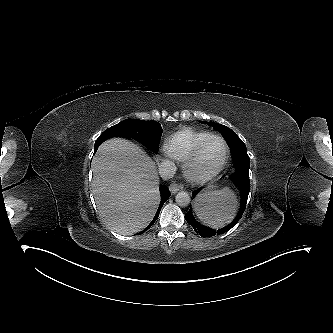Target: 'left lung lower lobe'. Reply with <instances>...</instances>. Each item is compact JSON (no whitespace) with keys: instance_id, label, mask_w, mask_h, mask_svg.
<instances>
[{"instance_id":"obj_1","label":"left lung lower lobe","mask_w":333,"mask_h":333,"mask_svg":"<svg viewBox=\"0 0 333 333\" xmlns=\"http://www.w3.org/2000/svg\"><path fill=\"white\" fill-rule=\"evenodd\" d=\"M231 179V178H230ZM235 185L239 188L240 190V194H241V207H240V211L237 215V217L233 220L232 223H230L229 225L225 226L222 229L219 230H213L211 228L205 227L201 224H199L193 217L192 215V209L190 208V210L185 214V219L186 221L193 227V229L195 230V232L197 234H199L202 237H212L214 235H220L223 234L225 232H227L228 230H230L231 228H233L236 223L239 221V219L241 218L242 214L245 211L246 208V202H247V198H248V194L250 191V181H249V174L246 175H242L241 177L237 178V179H231ZM201 190V188L195 190L192 193V196L195 197L198 192Z\"/></svg>"}]
</instances>
